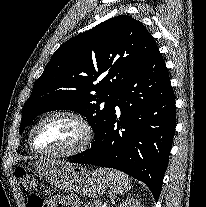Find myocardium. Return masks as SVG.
<instances>
[{
    "instance_id": "obj_1",
    "label": "myocardium",
    "mask_w": 206,
    "mask_h": 207,
    "mask_svg": "<svg viewBox=\"0 0 206 207\" xmlns=\"http://www.w3.org/2000/svg\"><path fill=\"white\" fill-rule=\"evenodd\" d=\"M57 117H68V118H71V119L77 121L80 124V126L83 129V133H84L81 142L71 148L60 149V150H45V149H40V148L36 147L34 144V133H35L36 129L44 121L52 119V118H57ZM93 139H94L93 127L90 124V122L83 115H81L77 112L63 110V111L52 112L50 114L45 115L41 119H39L34 124L32 129L30 130L28 142H29L30 148L38 154L49 155V156H71V155H76V154L82 153L85 150H87L91 146Z\"/></svg>"
}]
</instances>
